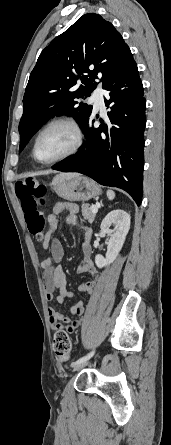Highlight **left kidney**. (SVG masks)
<instances>
[{"mask_svg": "<svg viewBox=\"0 0 171 445\" xmlns=\"http://www.w3.org/2000/svg\"><path fill=\"white\" fill-rule=\"evenodd\" d=\"M111 225L114 226L113 229H110ZM100 228L108 236V246L105 257L100 254L95 256V264L98 268H103L111 264L122 249L130 229V215L121 209L113 210L103 219Z\"/></svg>", "mask_w": 171, "mask_h": 445, "instance_id": "left-kidney-1", "label": "left kidney"}]
</instances>
